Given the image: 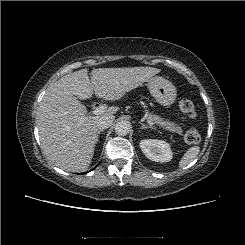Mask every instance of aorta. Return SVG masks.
<instances>
[{
  "label": "aorta",
  "mask_w": 245,
  "mask_h": 245,
  "mask_svg": "<svg viewBox=\"0 0 245 245\" xmlns=\"http://www.w3.org/2000/svg\"><path fill=\"white\" fill-rule=\"evenodd\" d=\"M131 129V124L129 121L121 120L118 121L115 125V132L119 136H126Z\"/></svg>",
  "instance_id": "obj_1"
}]
</instances>
